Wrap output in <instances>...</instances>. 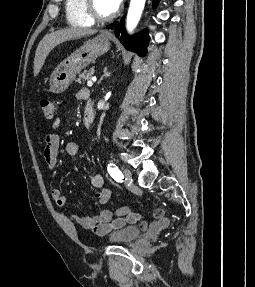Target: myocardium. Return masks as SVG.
Listing matches in <instances>:
<instances>
[{"label": "myocardium", "mask_w": 255, "mask_h": 287, "mask_svg": "<svg viewBox=\"0 0 255 287\" xmlns=\"http://www.w3.org/2000/svg\"><path fill=\"white\" fill-rule=\"evenodd\" d=\"M94 33H99V32H94ZM121 33H124V32H121ZM101 39H112V38H101ZM125 39H132V38H125ZM102 48H113V47H102ZM130 48H139V47H130Z\"/></svg>", "instance_id": "1"}]
</instances>
